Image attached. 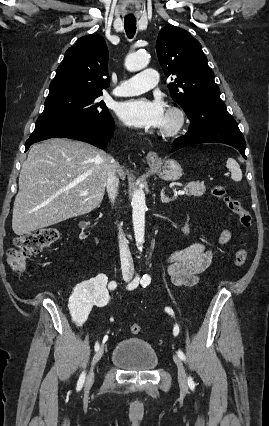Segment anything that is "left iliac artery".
<instances>
[{
  "label": "left iliac artery",
  "instance_id": "44dca946",
  "mask_svg": "<svg viewBox=\"0 0 269 426\" xmlns=\"http://www.w3.org/2000/svg\"><path fill=\"white\" fill-rule=\"evenodd\" d=\"M150 282H151V277H150L149 275H147V274H145V275L142 277V279H141V285H142L143 287H146L147 285H149V284H150ZM165 311H166L169 315H172V316L174 315V312H173L172 308H170V307H166V308H165ZM178 333H179V326L176 324V325L174 326V329H173V334H174V336H177V335H178ZM177 354H178V357H179L181 360H183V361H185V360H186V357H185L184 353H183L181 350H178ZM188 385H189L190 389L194 390V388H195V383H194V381H193L192 377H190V376L188 377Z\"/></svg>",
  "mask_w": 269,
  "mask_h": 426
}]
</instances>
